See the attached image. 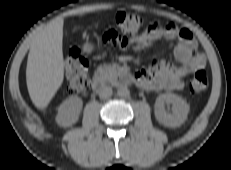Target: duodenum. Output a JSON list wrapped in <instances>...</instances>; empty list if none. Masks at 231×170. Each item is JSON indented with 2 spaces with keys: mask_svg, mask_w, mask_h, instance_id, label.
Segmentation results:
<instances>
[{
  "mask_svg": "<svg viewBox=\"0 0 231 170\" xmlns=\"http://www.w3.org/2000/svg\"><path fill=\"white\" fill-rule=\"evenodd\" d=\"M106 83L113 85L133 84L136 83V78L125 68H118L115 75H113L110 79H106L101 74H97L92 79V91L94 93L99 92Z\"/></svg>",
  "mask_w": 231,
  "mask_h": 170,
  "instance_id": "obj_1",
  "label": "duodenum"
}]
</instances>
